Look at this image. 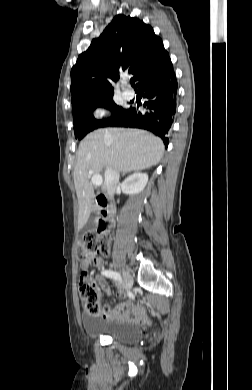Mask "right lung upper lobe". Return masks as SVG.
I'll list each match as a JSON object with an SVG mask.
<instances>
[{"instance_id":"cb5924a9","label":"right lung upper lobe","mask_w":252,"mask_h":390,"mask_svg":"<svg viewBox=\"0 0 252 390\" xmlns=\"http://www.w3.org/2000/svg\"><path fill=\"white\" fill-rule=\"evenodd\" d=\"M134 75L137 87L173 69L160 37L142 20L117 15L99 38L79 55L71 70L73 109L113 95L119 68Z\"/></svg>"}]
</instances>
